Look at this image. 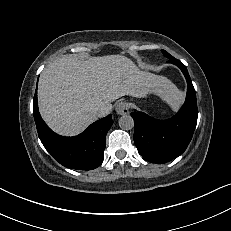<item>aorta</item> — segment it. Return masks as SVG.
I'll list each match as a JSON object with an SVG mask.
<instances>
[{"label":"aorta","instance_id":"aorta-1","mask_svg":"<svg viewBox=\"0 0 231 231\" xmlns=\"http://www.w3.org/2000/svg\"><path fill=\"white\" fill-rule=\"evenodd\" d=\"M119 126L123 130H131L134 127V120L130 115H123L119 119Z\"/></svg>","mask_w":231,"mask_h":231}]
</instances>
